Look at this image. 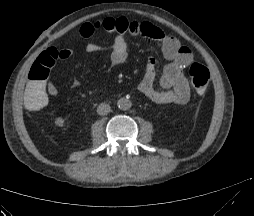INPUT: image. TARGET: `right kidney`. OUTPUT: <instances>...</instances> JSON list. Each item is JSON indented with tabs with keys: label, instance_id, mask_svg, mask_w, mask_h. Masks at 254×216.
Segmentation results:
<instances>
[{
	"label": "right kidney",
	"instance_id": "ca27d5eb",
	"mask_svg": "<svg viewBox=\"0 0 254 216\" xmlns=\"http://www.w3.org/2000/svg\"><path fill=\"white\" fill-rule=\"evenodd\" d=\"M55 125L58 127H63L65 125L64 119L62 117H58L55 119Z\"/></svg>",
	"mask_w": 254,
	"mask_h": 216
}]
</instances>
